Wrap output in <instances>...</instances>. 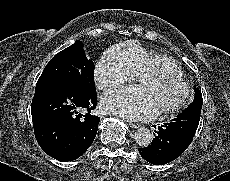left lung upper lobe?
Instances as JSON below:
<instances>
[{"mask_svg":"<svg viewBox=\"0 0 230 181\" xmlns=\"http://www.w3.org/2000/svg\"><path fill=\"white\" fill-rule=\"evenodd\" d=\"M194 90H195L194 101L182 113H185L187 111H193L201 114V109L203 104L202 93L198 88H194Z\"/></svg>","mask_w":230,"mask_h":181,"instance_id":"1","label":"left lung upper lobe"}]
</instances>
